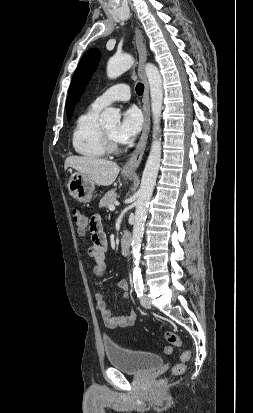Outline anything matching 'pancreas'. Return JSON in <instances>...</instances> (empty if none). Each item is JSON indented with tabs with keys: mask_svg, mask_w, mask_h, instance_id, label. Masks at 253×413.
<instances>
[{
	"mask_svg": "<svg viewBox=\"0 0 253 413\" xmlns=\"http://www.w3.org/2000/svg\"><path fill=\"white\" fill-rule=\"evenodd\" d=\"M117 193L116 190H110L107 192L100 200L99 206L109 208L110 205L114 204L116 201Z\"/></svg>",
	"mask_w": 253,
	"mask_h": 413,
	"instance_id": "pancreas-1",
	"label": "pancreas"
}]
</instances>
